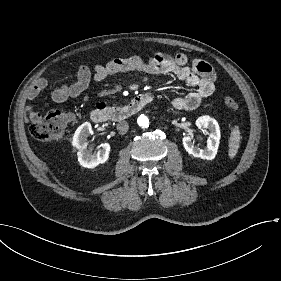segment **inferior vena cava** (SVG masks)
Returning <instances> with one entry per match:
<instances>
[{
    "mask_svg": "<svg viewBox=\"0 0 281 281\" xmlns=\"http://www.w3.org/2000/svg\"><path fill=\"white\" fill-rule=\"evenodd\" d=\"M116 128H117L119 134L124 135L127 133L128 129H129L128 122L121 121L117 124Z\"/></svg>",
    "mask_w": 281,
    "mask_h": 281,
    "instance_id": "obj_1",
    "label": "inferior vena cava"
}]
</instances>
